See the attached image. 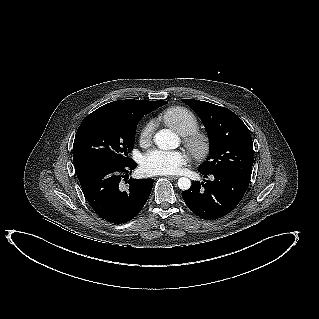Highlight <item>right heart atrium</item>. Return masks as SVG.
I'll return each mask as SVG.
<instances>
[{
    "mask_svg": "<svg viewBox=\"0 0 319 319\" xmlns=\"http://www.w3.org/2000/svg\"><path fill=\"white\" fill-rule=\"evenodd\" d=\"M154 129V124L152 121H149L144 124L139 132V142L142 145L149 144L152 138V133Z\"/></svg>",
    "mask_w": 319,
    "mask_h": 319,
    "instance_id": "d8ad5b80",
    "label": "right heart atrium"
}]
</instances>
